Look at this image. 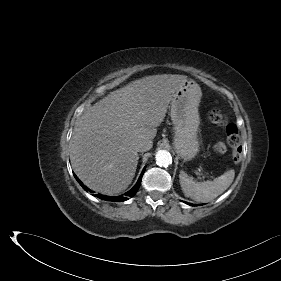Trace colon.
Returning <instances> with one entry per match:
<instances>
[{
    "instance_id": "1",
    "label": "colon",
    "mask_w": 281,
    "mask_h": 281,
    "mask_svg": "<svg viewBox=\"0 0 281 281\" xmlns=\"http://www.w3.org/2000/svg\"><path fill=\"white\" fill-rule=\"evenodd\" d=\"M208 119L211 123L225 127L226 144L219 142L214 145L213 150L216 154H223L227 150V146L232 149L233 160L238 163L240 161L241 139L237 126L229 123L226 115L219 109H213L208 114Z\"/></svg>"
}]
</instances>
